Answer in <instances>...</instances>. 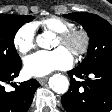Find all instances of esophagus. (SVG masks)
<instances>
[{
    "instance_id": "34e87169",
    "label": "esophagus",
    "mask_w": 112,
    "mask_h": 112,
    "mask_svg": "<svg viewBox=\"0 0 112 112\" xmlns=\"http://www.w3.org/2000/svg\"><path fill=\"white\" fill-rule=\"evenodd\" d=\"M38 81L41 85H43L48 81V77L39 78Z\"/></svg>"
}]
</instances>
